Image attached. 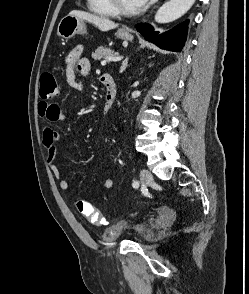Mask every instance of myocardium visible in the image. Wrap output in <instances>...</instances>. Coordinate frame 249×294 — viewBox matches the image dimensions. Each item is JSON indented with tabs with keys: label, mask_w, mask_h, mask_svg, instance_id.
<instances>
[{
	"label": "myocardium",
	"mask_w": 249,
	"mask_h": 294,
	"mask_svg": "<svg viewBox=\"0 0 249 294\" xmlns=\"http://www.w3.org/2000/svg\"><path fill=\"white\" fill-rule=\"evenodd\" d=\"M112 7L116 11L117 14L125 15V16H133L142 11V8L137 9H127L123 6L121 0H109Z\"/></svg>",
	"instance_id": "1"
}]
</instances>
